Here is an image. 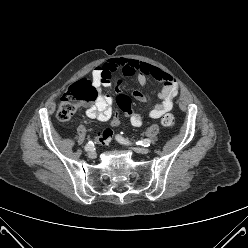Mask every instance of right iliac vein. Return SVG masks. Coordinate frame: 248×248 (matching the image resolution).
Masks as SVG:
<instances>
[{
  "label": "right iliac vein",
  "instance_id": "right-iliac-vein-1",
  "mask_svg": "<svg viewBox=\"0 0 248 248\" xmlns=\"http://www.w3.org/2000/svg\"><path fill=\"white\" fill-rule=\"evenodd\" d=\"M88 157L91 159H95L96 158V152L91 150L88 152Z\"/></svg>",
  "mask_w": 248,
  "mask_h": 248
}]
</instances>
